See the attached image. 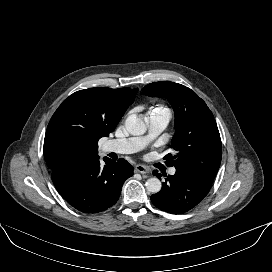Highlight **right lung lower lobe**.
<instances>
[{
	"mask_svg": "<svg viewBox=\"0 0 272 272\" xmlns=\"http://www.w3.org/2000/svg\"><path fill=\"white\" fill-rule=\"evenodd\" d=\"M99 157L83 164L52 172V181L60 195L84 213L107 210L119 199L123 183L133 175V167L124 159L118 162Z\"/></svg>",
	"mask_w": 272,
	"mask_h": 272,
	"instance_id": "1",
	"label": "right lung lower lobe"
}]
</instances>
